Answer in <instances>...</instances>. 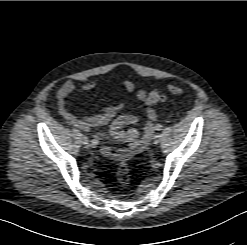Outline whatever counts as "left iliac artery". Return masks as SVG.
Here are the masks:
<instances>
[{
  "instance_id": "44dca946",
  "label": "left iliac artery",
  "mask_w": 247,
  "mask_h": 245,
  "mask_svg": "<svg viewBox=\"0 0 247 245\" xmlns=\"http://www.w3.org/2000/svg\"><path fill=\"white\" fill-rule=\"evenodd\" d=\"M161 128H162V125H161V124H157V125L155 126V129L158 130V131L161 130Z\"/></svg>"
}]
</instances>
